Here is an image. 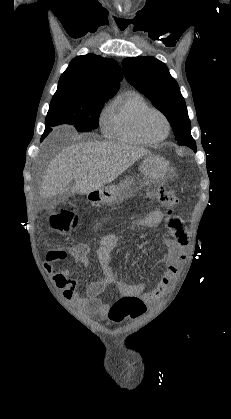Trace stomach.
Masks as SVG:
<instances>
[{"label":"stomach","instance_id":"1","mask_svg":"<svg viewBox=\"0 0 231 419\" xmlns=\"http://www.w3.org/2000/svg\"><path fill=\"white\" fill-rule=\"evenodd\" d=\"M140 171L147 181L160 182L169 171L167 160L157 155H146L140 165ZM135 185L134 179H126L117 185L104 186L87 195L92 204H114L127 198Z\"/></svg>","mask_w":231,"mask_h":419}]
</instances>
